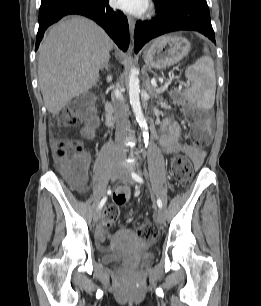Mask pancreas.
<instances>
[{
    "label": "pancreas",
    "mask_w": 261,
    "mask_h": 306,
    "mask_svg": "<svg viewBox=\"0 0 261 306\" xmlns=\"http://www.w3.org/2000/svg\"><path fill=\"white\" fill-rule=\"evenodd\" d=\"M167 88H166V86L165 85H163V86H161V87H153L152 89H151V93H154V94H161V93H163L165 90H166Z\"/></svg>",
    "instance_id": "pancreas-1"
}]
</instances>
